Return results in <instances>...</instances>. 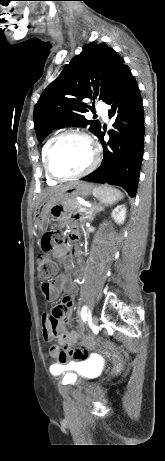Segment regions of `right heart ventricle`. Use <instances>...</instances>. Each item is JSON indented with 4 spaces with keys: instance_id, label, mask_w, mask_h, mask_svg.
I'll return each mask as SVG.
<instances>
[{
    "instance_id": "1",
    "label": "right heart ventricle",
    "mask_w": 165,
    "mask_h": 461,
    "mask_svg": "<svg viewBox=\"0 0 165 461\" xmlns=\"http://www.w3.org/2000/svg\"><path fill=\"white\" fill-rule=\"evenodd\" d=\"M52 138L48 139L43 147H42V160H43V164H44V157H45V152H46V149L49 145V143L51 142ZM46 178H47V181L49 182V184H54L56 182V180L52 179L51 177H49L47 174H46Z\"/></svg>"
}]
</instances>
